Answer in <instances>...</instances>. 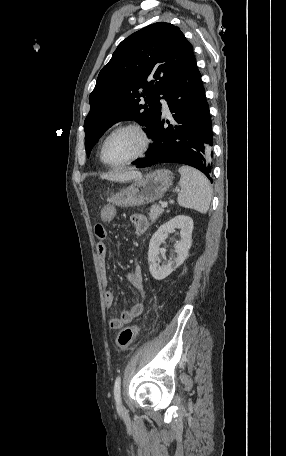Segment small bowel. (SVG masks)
Here are the masks:
<instances>
[{"mask_svg":"<svg viewBox=\"0 0 286 456\" xmlns=\"http://www.w3.org/2000/svg\"><path fill=\"white\" fill-rule=\"evenodd\" d=\"M116 214V210L113 206H105L101 211V220L104 223L111 222ZM129 220L134 228V231L137 235H142L148 228V220L147 218L140 213H132L129 216ZM95 234L98 239L97 243V256L100 265V272H101V279L102 283L105 287L109 285V275H108V268L106 264V257H107V232L105 227L102 224H97L95 226ZM127 280L129 283L137 288L142 295H145L144 289V278H143V271L142 267L137 265L135 266L130 273L127 275ZM104 301L107 307H111L114 304L115 296L112 291L106 290L104 293ZM144 310V305L142 303L134 304L130 309L122 312L119 316L113 317L109 321L110 329L117 330L122 328L125 324L130 323L135 318L139 317Z\"/></svg>","mask_w":286,"mask_h":456,"instance_id":"obj_1","label":"small bowel"}]
</instances>
